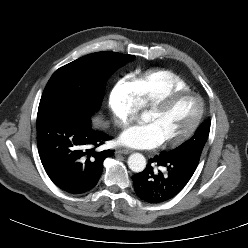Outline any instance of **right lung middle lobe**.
Instances as JSON below:
<instances>
[{
    "mask_svg": "<svg viewBox=\"0 0 248 248\" xmlns=\"http://www.w3.org/2000/svg\"><path fill=\"white\" fill-rule=\"evenodd\" d=\"M134 57L109 51L96 52L59 68L43 91L38 112L59 110L91 115L102 103L109 77Z\"/></svg>",
    "mask_w": 248,
    "mask_h": 248,
    "instance_id": "dd1d6c3e",
    "label": "right lung middle lobe"
}]
</instances>
